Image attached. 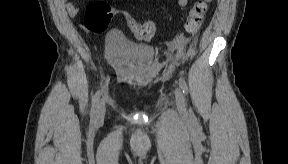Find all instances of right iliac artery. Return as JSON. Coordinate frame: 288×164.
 <instances>
[{
	"label": "right iliac artery",
	"mask_w": 288,
	"mask_h": 164,
	"mask_svg": "<svg viewBox=\"0 0 288 164\" xmlns=\"http://www.w3.org/2000/svg\"><path fill=\"white\" fill-rule=\"evenodd\" d=\"M99 101H100V91H97L93 97L91 106V118L93 121L97 120Z\"/></svg>",
	"instance_id": "82829eb1"
}]
</instances>
